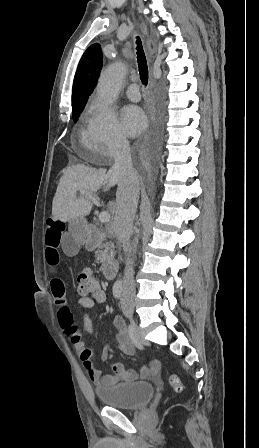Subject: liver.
I'll return each instance as SVG.
<instances>
[{"label": "liver", "instance_id": "obj_1", "mask_svg": "<svg viewBox=\"0 0 259 448\" xmlns=\"http://www.w3.org/2000/svg\"><path fill=\"white\" fill-rule=\"evenodd\" d=\"M114 178L116 176H113L111 172H106L104 168L94 170V168H87V166H82V164L63 170V176L60 178L53 198V220L55 222L56 220L75 222L78 218L89 216L93 204L89 202V198H77V190L98 192L102 186L111 188L115 184ZM109 210L114 214L115 206L109 204Z\"/></svg>", "mask_w": 259, "mask_h": 448}]
</instances>
